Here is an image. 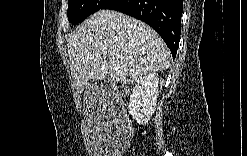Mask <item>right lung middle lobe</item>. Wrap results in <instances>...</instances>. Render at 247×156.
<instances>
[{
	"instance_id": "dd1d6c3e",
	"label": "right lung middle lobe",
	"mask_w": 247,
	"mask_h": 156,
	"mask_svg": "<svg viewBox=\"0 0 247 156\" xmlns=\"http://www.w3.org/2000/svg\"><path fill=\"white\" fill-rule=\"evenodd\" d=\"M107 2L108 0H68V20L71 23L82 22Z\"/></svg>"
}]
</instances>
